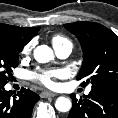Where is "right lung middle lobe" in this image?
<instances>
[{
    "label": "right lung middle lobe",
    "instance_id": "dd1d6c3e",
    "mask_svg": "<svg viewBox=\"0 0 118 118\" xmlns=\"http://www.w3.org/2000/svg\"><path fill=\"white\" fill-rule=\"evenodd\" d=\"M25 45L20 39L0 34V86L7 83L12 68L18 66V54Z\"/></svg>",
    "mask_w": 118,
    "mask_h": 118
}]
</instances>
